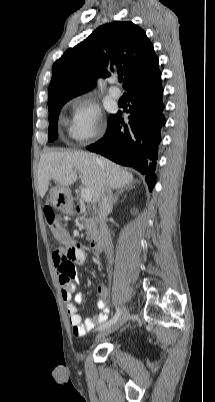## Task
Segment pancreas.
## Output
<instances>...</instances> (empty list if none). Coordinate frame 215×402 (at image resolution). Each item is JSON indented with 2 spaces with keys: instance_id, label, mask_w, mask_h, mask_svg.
<instances>
[{
  "instance_id": "1",
  "label": "pancreas",
  "mask_w": 215,
  "mask_h": 402,
  "mask_svg": "<svg viewBox=\"0 0 215 402\" xmlns=\"http://www.w3.org/2000/svg\"><path fill=\"white\" fill-rule=\"evenodd\" d=\"M82 222V225L86 228L87 240H94L98 235L97 220L93 215L88 216L85 212L84 216H78L76 222Z\"/></svg>"
}]
</instances>
